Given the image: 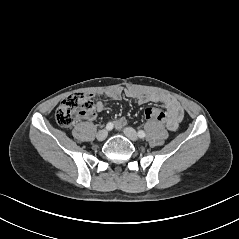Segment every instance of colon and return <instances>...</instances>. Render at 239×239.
Masks as SVG:
<instances>
[{
  "mask_svg": "<svg viewBox=\"0 0 239 239\" xmlns=\"http://www.w3.org/2000/svg\"><path fill=\"white\" fill-rule=\"evenodd\" d=\"M94 105L91 97L83 93H74L62 100L55 112L57 123L63 128H70L81 116L92 114ZM146 117L164 121L165 114L161 107L154 105L146 109Z\"/></svg>",
  "mask_w": 239,
  "mask_h": 239,
  "instance_id": "5ec220e1",
  "label": "colon"
}]
</instances>
